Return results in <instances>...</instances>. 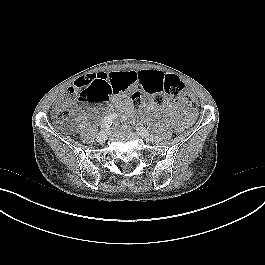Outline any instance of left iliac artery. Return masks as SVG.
Wrapping results in <instances>:
<instances>
[{
    "label": "left iliac artery",
    "instance_id": "1",
    "mask_svg": "<svg viewBox=\"0 0 265 265\" xmlns=\"http://www.w3.org/2000/svg\"><path fill=\"white\" fill-rule=\"evenodd\" d=\"M152 136V139L153 138H155V140H157V141H159L161 138L160 137H158V136H156V137H154L153 135H151Z\"/></svg>",
    "mask_w": 265,
    "mask_h": 265
}]
</instances>
